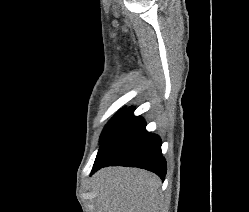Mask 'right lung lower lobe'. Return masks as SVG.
<instances>
[{"mask_svg": "<svg viewBox=\"0 0 249 212\" xmlns=\"http://www.w3.org/2000/svg\"><path fill=\"white\" fill-rule=\"evenodd\" d=\"M133 111V107L125 109L101 141L91 175L102 167L121 165L144 168L164 179L161 139L146 131L143 118L133 116Z\"/></svg>", "mask_w": 249, "mask_h": 212, "instance_id": "1", "label": "right lung lower lobe"}]
</instances>
